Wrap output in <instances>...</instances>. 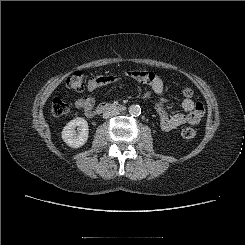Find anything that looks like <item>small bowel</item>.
<instances>
[{"mask_svg":"<svg viewBox=\"0 0 245 245\" xmlns=\"http://www.w3.org/2000/svg\"><path fill=\"white\" fill-rule=\"evenodd\" d=\"M126 78L134 79L140 83L148 85L159 98L157 112L159 115L160 127L163 131H171L185 124L195 125L199 123L204 116V105L201 102H195L191 97H186L182 101V108L185 113H167V101L163 98L164 81L159 75L152 71L134 70L120 75L95 76L89 80L88 90L94 91L105 84ZM98 80L99 82H97ZM94 105L95 100L91 96L80 97L76 100L77 108L82 110L87 116H92Z\"/></svg>","mask_w":245,"mask_h":245,"instance_id":"c3829d8e","label":"small bowel"}]
</instances>
